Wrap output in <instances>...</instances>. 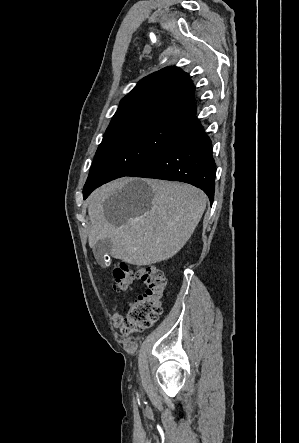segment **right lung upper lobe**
<instances>
[{"label":"right lung upper lobe","mask_w":299,"mask_h":443,"mask_svg":"<svg viewBox=\"0 0 299 443\" xmlns=\"http://www.w3.org/2000/svg\"><path fill=\"white\" fill-rule=\"evenodd\" d=\"M194 112L193 83L178 67H167L143 78L121 100L106 133L147 119L183 122Z\"/></svg>","instance_id":"right-lung-upper-lobe-1"}]
</instances>
